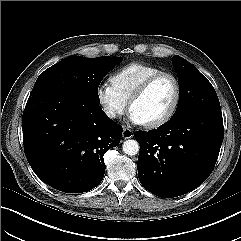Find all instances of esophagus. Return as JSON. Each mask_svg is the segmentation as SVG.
<instances>
[{
	"mask_svg": "<svg viewBox=\"0 0 241 241\" xmlns=\"http://www.w3.org/2000/svg\"><path fill=\"white\" fill-rule=\"evenodd\" d=\"M122 137L124 139H129V138L133 137V131L127 127H124Z\"/></svg>",
	"mask_w": 241,
	"mask_h": 241,
	"instance_id": "34e87169",
	"label": "esophagus"
}]
</instances>
